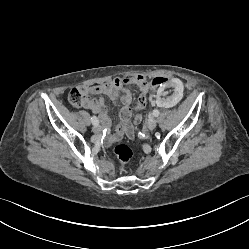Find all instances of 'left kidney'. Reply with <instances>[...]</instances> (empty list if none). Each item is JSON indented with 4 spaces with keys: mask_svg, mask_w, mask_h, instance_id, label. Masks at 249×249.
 I'll return each mask as SVG.
<instances>
[{
    "mask_svg": "<svg viewBox=\"0 0 249 249\" xmlns=\"http://www.w3.org/2000/svg\"><path fill=\"white\" fill-rule=\"evenodd\" d=\"M185 79L178 75H173L166 79L160 89H157L154 94V108L156 110H163L178 104L184 93L186 92Z\"/></svg>",
    "mask_w": 249,
    "mask_h": 249,
    "instance_id": "1",
    "label": "left kidney"
}]
</instances>
